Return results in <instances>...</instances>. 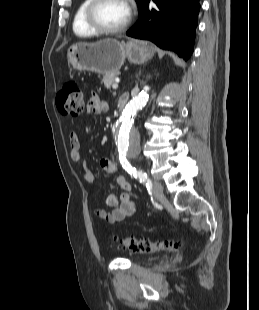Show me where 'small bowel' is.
Instances as JSON below:
<instances>
[{
    "label": "small bowel",
    "instance_id": "obj_1",
    "mask_svg": "<svg viewBox=\"0 0 259 310\" xmlns=\"http://www.w3.org/2000/svg\"><path fill=\"white\" fill-rule=\"evenodd\" d=\"M88 110L95 114H101L108 110V105L106 102L102 101L97 94L93 93L88 101ZM70 158L73 162L82 164L83 180L88 184H93L95 182V176L86 165V162L81 154L80 137L75 131L70 133ZM99 164L105 173L115 174L117 171V167L111 159L102 158ZM116 181L123 192L119 196L111 193L106 197V204L112 208V211L109 212L101 208L94 209V213L99 219L110 224L130 218L136 211V203L130 196V182L124 177H118Z\"/></svg>",
    "mask_w": 259,
    "mask_h": 310
}]
</instances>
